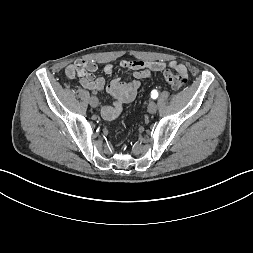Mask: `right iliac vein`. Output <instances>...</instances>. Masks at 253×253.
Returning a JSON list of instances; mask_svg holds the SVG:
<instances>
[{
  "label": "right iliac vein",
  "instance_id": "obj_1",
  "mask_svg": "<svg viewBox=\"0 0 253 253\" xmlns=\"http://www.w3.org/2000/svg\"><path fill=\"white\" fill-rule=\"evenodd\" d=\"M98 103H99V101H98V98H97V97H95V96L91 97V99H90V105H91L92 107H97V106H98Z\"/></svg>",
  "mask_w": 253,
  "mask_h": 253
}]
</instances>
